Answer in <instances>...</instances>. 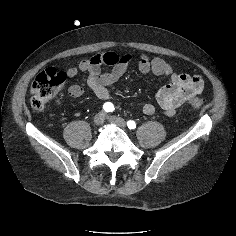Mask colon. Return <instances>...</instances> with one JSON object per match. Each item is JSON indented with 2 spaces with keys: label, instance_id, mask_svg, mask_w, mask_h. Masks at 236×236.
<instances>
[{
  "label": "colon",
  "instance_id": "colon-1",
  "mask_svg": "<svg viewBox=\"0 0 236 236\" xmlns=\"http://www.w3.org/2000/svg\"><path fill=\"white\" fill-rule=\"evenodd\" d=\"M68 76L65 72L55 68H47L39 73L31 85V106L36 110L43 109L57 93L67 84ZM193 110H199L203 105L200 98H191L188 102Z\"/></svg>",
  "mask_w": 236,
  "mask_h": 236
}]
</instances>
